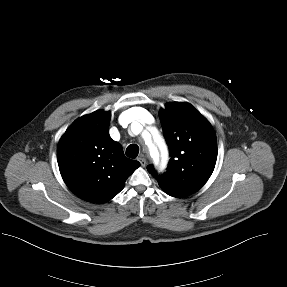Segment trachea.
Returning a JSON list of instances; mask_svg holds the SVG:
<instances>
[{
  "label": "trachea",
  "instance_id": "trachea-1",
  "mask_svg": "<svg viewBox=\"0 0 287 287\" xmlns=\"http://www.w3.org/2000/svg\"><path fill=\"white\" fill-rule=\"evenodd\" d=\"M139 153V147L136 144H131L126 149V156L129 158H136Z\"/></svg>",
  "mask_w": 287,
  "mask_h": 287
}]
</instances>
